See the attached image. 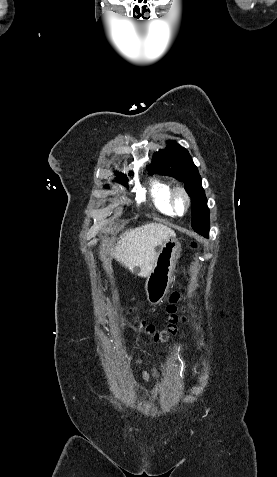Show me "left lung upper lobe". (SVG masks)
I'll return each instance as SVG.
<instances>
[{
	"label": "left lung upper lobe",
	"mask_w": 277,
	"mask_h": 477,
	"mask_svg": "<svg viewBox=\"0 0 277 477\" xmlns=\"http://www.w3.org/2000/svg\"><path fill=\"white\" fill-rule=\"evenodd\" d=\"M150 174L158 173L184 182L186 192L192 202V228L194 231L209 227V209L202 188V179L189 152L174 141L156 152L152 163L147 167Z\"/></svg>",
	"instance_id": "obj_1"
}]
</instances>
